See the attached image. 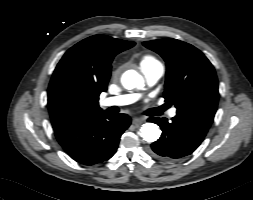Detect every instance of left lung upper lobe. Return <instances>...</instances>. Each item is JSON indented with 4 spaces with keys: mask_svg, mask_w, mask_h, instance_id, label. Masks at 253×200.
Masks as SVG:
<instances>
[{
    "mask_svg": "<svg viewBox=\"0 0 253 200\" xmlns=\"http://www.w3.org/2000/svg\"><path fill=\"white\" fill-rule=\"evenodd\" d=\"M167 65L164 98L177 113L213 122L218 104V81L213 65L194 46L172 38L143 42Z\"/></svg>",
    "mask_w": 253,
    "mask_h": 200,
    "instance_id": "5c2ea615",
    "label": "left lung upper lobe"
}]
</instances>
